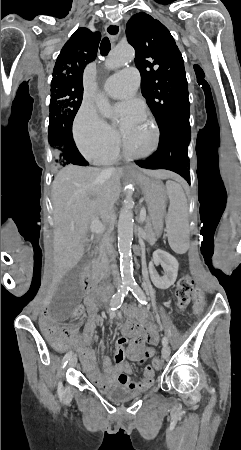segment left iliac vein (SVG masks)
Segmentation results:
<instances>
[{"instance_id":"obj_1","label":"left iliac vein","mask_w":241,"mask_h":450,"mask_svg":"<svg viewBox=\"0 0 241 450\" xmlns=\"http://www.w3.org/2000/svg\"><path fill=\"white\" fill-rule=\"evenodd\" d=\"M169 356H170V348L167 345H165L162 349V357L164 359H167Z\"/></svg>"}]
</instances>
